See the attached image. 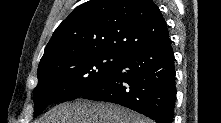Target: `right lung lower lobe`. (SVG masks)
<instances>
[{"label": "right lung lower lobe", "instance_id": "right-lung-lower-lobe-1", "mask_svg": "<svg viewBox=\"0 0 221 123\" xmlns=\"http://www.w3.org/2000/svg\"><path fill=\"white\" fill-rule=\"evenodd\" d=\"M81 97L120 104L156 123H172L176 86L170 39L157 46L127 53L104 82Z\"/></svg>", "mask_w": 221, "mask_h": 123}]
</instances>
